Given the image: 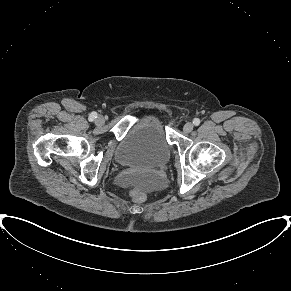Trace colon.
Wrapping results in <instances>:
<instances>
[{"instance_id":"obj_1","label":"colon","mask_w":291,"mask_h":291,"mask_svg":"<svg viewBox=\"0 0 291 291\" xmlns=\"http://www.w3.org/2000/svg\"><path fill=\"white\" fill-rule=\"evenodd\" d=\"M130 193H131L133 200L137 203L143 202L146 198L145 193L143 191H141L140 189L134 188L131 190Z\"/></svg>"}]
</instances>
